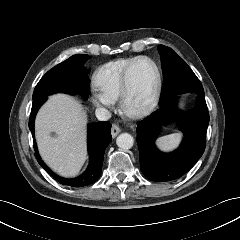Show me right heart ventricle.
<instances>
[{"instance_id":"right-heart-ventricle-1","label":"right heart ventricle","mask_w":240,"mask_h":240,"mask_svg":"<svg viewBox=\"0 0 240 240\" xmlns=\"http://www.w3.org/2000/svg\"><path fill=\"white\" fill-rule=\"evenodd\" d=\"M135 58L137 57L119 58L99 67L95 75L97 87L109 98L118 99L124 72Z\"/></svg>"}]
</instances>
